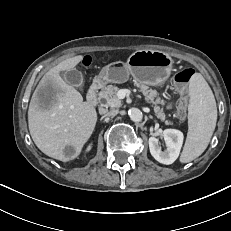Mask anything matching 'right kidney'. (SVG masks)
Instances as JSON below:
<instances>
[{"label":"right kidney","instance_id":"right-kidney-1","mask_svg":"<svg viewBox=\"0 0 231 231\" xmlns=\"http://www.w3.org/2000/svg\"><path fill=\"white\" fill-rule=\"evenodd\" d=\"M91 146L88 147V150H90Z\"/></svg>","mask_w":231,"mask_h":231}]
</instances>
